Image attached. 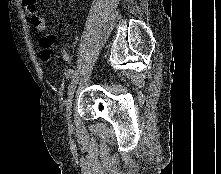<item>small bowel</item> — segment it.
<instances>
[{
	"label": "small bowel",
	"mask_w": 221,
	"mask_h": 174,
	"mask_svg": "<svg viewBox=\"0 0 221 174\" xmlns=\"http://www.w3.org/2000/svg\"><path fill=\"white\" fill-rule=\"evenodd\" d=\"M25 12L28 15L30 22L37 32H44L46 23L44 19L38 14L37 0H23ZM55 37L53 34H44L40 39V44L43 48L41 58L45 62L52 60V47L54 46ZM62 58L65 62L70 61V55L67 51H62Z\"/></svg>",
	"instance_id": "1"
}]
</instances>
